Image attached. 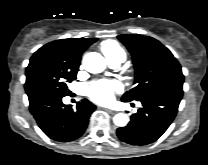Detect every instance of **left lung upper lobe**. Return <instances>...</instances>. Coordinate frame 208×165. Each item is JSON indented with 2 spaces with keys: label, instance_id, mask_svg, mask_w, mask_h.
Listing matches in <instances>:
<instances>
[{
  "label": "left lung upper lobe",
  "instance_id": "left-lung-upper-lobe-1",
  "mask_svg": "<svg viewBox=\"0 0 208 165\" xmlns=\"http://www.w3.org/2000/svg\"><path fill=\"white\" fill-rule=\"evenodd\" d=\"M118 39L132 54L137 85L126 92L122 101H140L162 90L183 92L184 76L173 54L158 40L149 36L119 35Z\"/></svg>",
  "mask_w": 208,
  "mask_h": 165
}]
</instances>
